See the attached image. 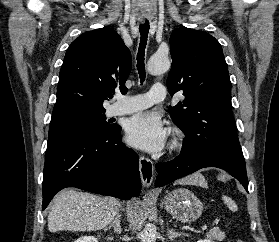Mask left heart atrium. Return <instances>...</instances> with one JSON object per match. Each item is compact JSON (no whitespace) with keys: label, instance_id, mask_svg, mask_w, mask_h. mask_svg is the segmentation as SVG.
I'll use <instances>...</instances> for the list:
<instances>
[{"label":"left heart atrium","instance_id":"39dd6f15","mask_svg":"<svg viewBox=\"0 0 279 242\" xmlns=\"http://www.w3.org/2000/svg\"><path fill=\"white\" fill-rule=\"evenodd\" d=\"M125 137L128 144L133 147L158 153L167 144L168 130L158 115L140 113L127 121Z\"/></svg>","mask_w":279,"mask_h":242}]
</instances>
